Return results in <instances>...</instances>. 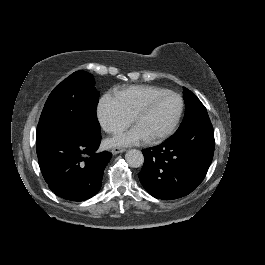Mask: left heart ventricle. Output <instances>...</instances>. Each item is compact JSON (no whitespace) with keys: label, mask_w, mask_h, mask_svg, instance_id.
I'll use <instances>...</instances> for the list:
<instances>
[{"label":"left heart ventricle","mask_w":265,"mask_h":265,"mask_svg":"<svg viewBox=\"0 0 265 265\" xmlns=\"http://www.w3.org/2000/svg\"><path fill=\"white\" fill-rule=\"evenodd\" d=\"M179 105L177 97L160 94L153 100L147 110L137 117L136 124L144 130L148 137H151L174 120Z\"/></svg>","instance_id":"obj_1"}]
</instances>
